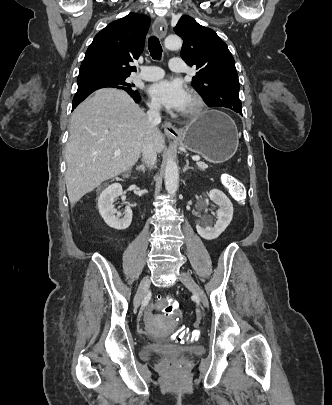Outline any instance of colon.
Segmentation results:
<instances>
[{
    "label": "colon",
    "mask_w": 332,
    "mask_h": 405,
    "mask_svg": "<svg viewBox=\"0 0 332 405\" xmlns=\"http://www.w3.org/2000/svg\"><path fill=\"white\" fill-rule=\"evenodd\" d=\"M222 184L229 191L231 196L238 202H243L245 199V187L234 176L224 174L221 177ZM155 305L162 311L163 319H168L171 323V328L175 333H170V342H192L197 340L200 333L199 325H180L178 319L185 317V308L181 307L178 299H174L170 293L169 297L157 295L155 297Z\"/></svg>",
    "instance_id": "obj_1"
}]
</instances>
